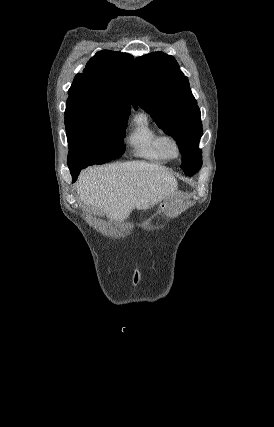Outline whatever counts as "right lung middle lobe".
<instances>
[{
  "label": "right lung middle lobe",
  "instance_id": "1",
  "mask_svg": "<svg viewBox=\"0 0 274 427\" xmlns=\"http://www.w3.org/2000/svg\"><path fill=\"white\" fill-rule=\"evenodd\" d=\"M128 107L84 106L65 111L68 166L103 164L120 157L125 150V120Z\"/></svg>",
  "mask_w": 274,
  "mask_h": 427
}]
</instances>
